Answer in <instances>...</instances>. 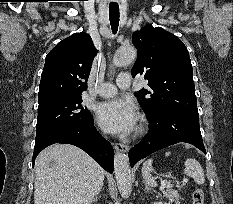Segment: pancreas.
I'll use <instances>...</instances> for the list:
<instances>
[{"label": "pancreas", "instance_id": "pancreas-1", "mask_svg": "<svg viewBox=\"0 0 233 204\" xmlns=\"http://www.w3.org/2000/svg\"><path fill=\"white\" fill-rule=\"evenodd\" d=\"M163 194L171 202H175L176 204H180V202H179L180 196H179V193L177 190L167 189V190L163 191Z\"/></svg>", "mask_w": 233, "mask_h": 204}]
</instances>
